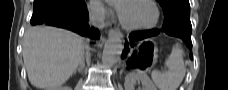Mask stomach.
<instances>
[{"mask_svg":"<svg viewBox=\"0 0 228 90\" xmlns=\"http://www.w3.org/2000/svg\"><path fill=\"white\" fill-rule=\"evenodd\" d=\"M158 48L151 40H145L140 43L137 56L131 60V63L137 64L141 68L152 67L157 60Z\"/></svg>","mask_w":228,"mask_h":90,"instance_id":"0dacf381","label":"stomach"}]
</instances>
